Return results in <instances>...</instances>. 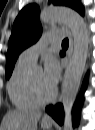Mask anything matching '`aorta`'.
Here are the masks:
<instances>
[{
	"label": "aorta",
	"mask_w": 95,
	"mask_h": 130,
	"mask_svg": "<svg viewBox=\"0 0 95 130\" xmlns=\"http://www.w3.org/2000/svg\"><path fill=\"white\" fill-rule=\"evenodd\" d=\"M40 21L43 24L62 22L68 26L73 36V53L65 72L61 92L64 108L63 130H72V108L87 63L89 31L84 19L70 8L51 7L44 9L40 14Z\"/></svg>",
	"instance_id": "762f6f07"
}]
</instances>
